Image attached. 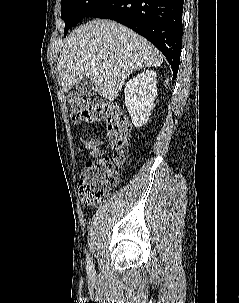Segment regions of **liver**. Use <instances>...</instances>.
Masks as SVG:
<instances>
[{
  "instance_id": "obj_1",
  "label": "liver",
  "mask_w": 239,
  "mask_h": 303,
  "mask_svg": "<svg viewBox=\"0 0 239 303\" xmlns=\"http://www.w3.org/2000/svg\"><path fill=\"white\" fill-rule=\"evenodd\" d=\"M162 62L161 53L131 29L110 20H93L68 36L57 69L64 92L91 77L95 91L113 101L130 74Z\"/></svg>"
}]
</instances>
